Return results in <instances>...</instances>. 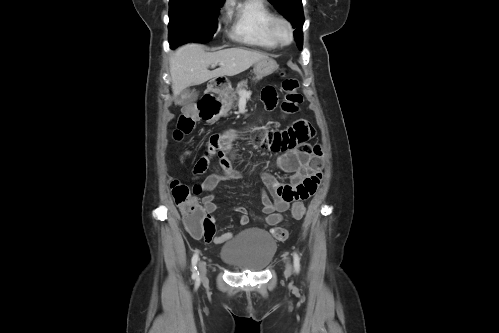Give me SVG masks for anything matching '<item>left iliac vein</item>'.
I'll return each mask as SVG.
<instances>
[{"instance_id":"4c4485c4","label":"left iliac vein","mask_w":499,"mask_h":333,"mask_svg":"<svg viewBox=\"0 0 499 333\" xmlns=\"http://www.w3.org/2000/svg\"><path fill=\"white\" fill-rule=\"evenodd\" d=\"M291 271H292V267H291V264L289 261H287L286 263V274L287 275H290L291 274Z\"/></svg>"}]
</instances>
